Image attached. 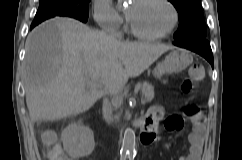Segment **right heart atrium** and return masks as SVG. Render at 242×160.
Listing matches in <instances>:
<instances>
[{"label": "right heart atrium", "instance_id": "right-heart-atrium-1", "mask_svg": "<svg viewBox=\"0 0 242 160\" xmlns=\"http://www.w3.org/2000/svg\"><path fill=\"white\" fill-rule=\"evenodd\" d=\"M93 17L103 30L112 34H116L123 25L122 16L110 0H94Z\"/></svg>", "mask_w": 242, "mask_h": 160}]
</instances>
